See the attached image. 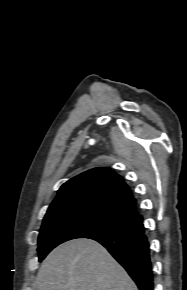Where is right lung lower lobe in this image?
Wrapping results in <instances>:
<instances>
[{
    "mask_svg": "<svg viewBox=\"0 0 187 290\" xmlns=\"http://www.w3.org/2000/svg\"><path fill=\"white\" fill-rule=\"evenodd\" d=\"M101 243L126 269L139 290H153V272L148 240L142 220L115 231L89 237Z\"/></svg>",
    "mask_w": 187,
    "mask_h": 290,
    "instance_id": "right-lung-lower-lobe-1",
    "label": "right lung lower lobe"
}]
</instances>
